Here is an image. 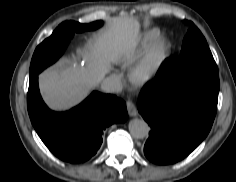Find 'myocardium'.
Segmentation results:
<instances>
[{"instance_id":"1","label":"myocardium","mask_w":236,"mask_h":182,"mask_svg":"<svg viewBox=\"0 0 236 182\" xmlns=\"http://www.w3.org/2000/svg\"><path fill=\"white\" fill-rule=\"evenodd\" d=\"M170 50V41L165 36L157 37L131 67L129 71L131 83L142 87L152 82L167 62Z\"/></svg>"}]
</instances>
